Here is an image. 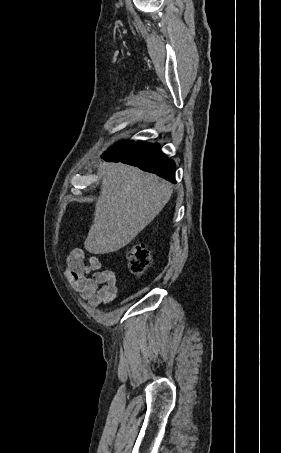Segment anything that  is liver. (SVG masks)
<instances>
[{
  "label": "liver",
  "mask_w": 281,
  "mask_h": 453,
  "mask_svg": "<svg viewBox=\"0 0 281 453\" xmlns=\"http://www.w3.org/2000/svg\"><path fill=\"white\" fill-rule=\"evenodd\" d=\"M100 178V196L84 243L93 255L114 253L129 245L172 194L166 180L122 162H103Z\"/></svg>",
  "instance_id": "6515ba94"
}]
</instances>
